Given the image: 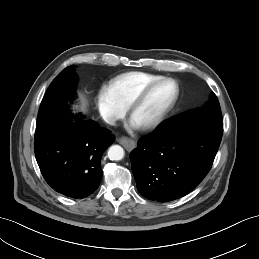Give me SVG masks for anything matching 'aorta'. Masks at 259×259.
<instances>
[{"label": "aorta", "mask_w": 259, "mask_h": 259, "mask_svg": "<svg viewBox=\"0 0 259 259\" xmlns=\"http://www.w3.org/2000/svg\"><path fill=\"white\" fill-rule=\"evenodd\" d=\"M108 157L110 160L118 161L124 157V150L119 145H113L109 148Z\"/></svg>", "instance_id": "762f6f07"}]
</instances>
